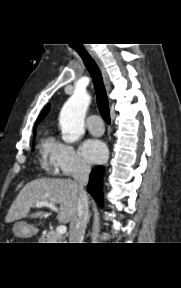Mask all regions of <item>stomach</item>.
Masks as SVG:
<instances>
[{"label":"stomach","instance_id":"obj_1","mask_svg":"<svg viewBox=\"0 0 181 288\" xmlns=\"http://www.w3.org/2000/svg\"><path fill=\"white\" fill-rule=\"evenodd\" d=\"M13 232L16 237L30 238L37 233V230L25 222H17L13 226Z\"/></svg>","mask_w":181,"mask_h":288}]
</instances>
